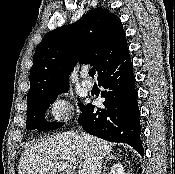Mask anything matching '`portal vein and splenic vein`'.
<instances>
[{
	"label": "portal vein and splenic vein",
	"mask_w": 175,
	"mask_h": 174,
	"mask_svg": "<svg viewBox=\"0 0 175 174\" xmlns=\"http://www.w3.org/2000/svg\"><path fill=\"white\" fill-rule=\"evenodd\" d=\"M67 159H68V161H70L72 163H76L77 162V158H75V157H68ZM79 174H85V171L81 169L79 171Z\"/></svg>",
	"instance_id": "obj_1"
}]
</instances>
